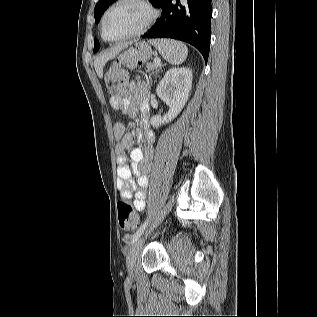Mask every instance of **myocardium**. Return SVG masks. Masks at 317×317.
<instances>
[{
  "label": "myocardium",
  "mask_w": 317,
  "mask_h": 317,
  "mask_svg": "<svg viewBox=\"0 0 317 317\" xmlns=\"http://www.w3.org/2000/svg\"><path fill=\"white\" fill-rule=\"evenodd\" d=\"M126 2L137 3L141 5L142 7H144L145 10L147 11V19L144 22V24L137 30L132 31L119 38L109 39L105 35V22H106L107 16L115 7ZM156 17H157V10L148 0H116L106 9V11L103 14L102 21H101V36L107 42H120V41H124L133 37L140 36L144 34L153 25L154 21L156 20Z\"/></svg>",
  "instance_id": "f54148a6"
}]
</instances>
